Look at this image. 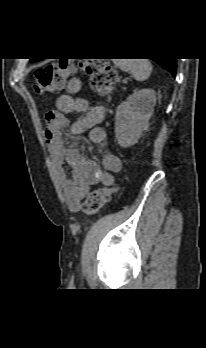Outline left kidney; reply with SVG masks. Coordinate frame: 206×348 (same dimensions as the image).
I'll list each match as a JSON object with an SVG mask.
<instances>
[{"label": "left kidney", "instance_id": "1", "mask_svg": "<svg viewBox=\"0 0 206 348\" xmlns=\"http://www.w3.org/2000/svg\"><path fill=\"white\" fill-rule=\"evenodd\" d=\"M156 105V93L152 89L134 91L117 110L115 135L118 144L127 148L138 142L143 131L149 127V119Z\"/></svg>", "mask_w": 206, "mask_h": 348}]
</instances>
